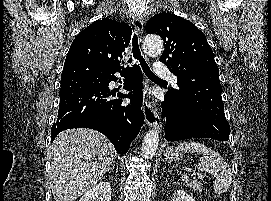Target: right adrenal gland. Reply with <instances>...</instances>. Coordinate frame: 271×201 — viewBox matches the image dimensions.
<instances>
[{
	"label": "right adrenal gland",
	"mask_w": 271,
	"mask_h": 201,
	"mask_svg": "<svg viewBox=\"0 0 271 201\" xmlns=\"http://www.w3.org/2000/svg\"><path fill=\"white\" fill-rule=\"evenodd\" d=\"M114 168H115V161H113L112 165L110 168H108V172H114Z\"/></svg>",
	"instance_id": "2a0ac1e0"
}]
</instances>
